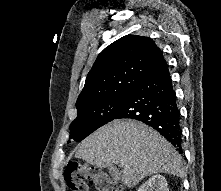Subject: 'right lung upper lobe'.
<instances>
[{
    "label": "right lung upper lobe",
    "instance_id": "right-lung-upper-lobe-1",
    "mask_svg": "<svg viewBox=\"0 0 221 191\" xmlns=\"http://www.w3.org/2000/svg\"><path fill=\"white\" fill-rule=\"evenodd\" d=\"M165 63L148 37L126 35L106 47L87 75L77 110L131 91Z\"/></svg>",
    "mask_w": 221,
    "mask_h": 191
}]
</instances>
